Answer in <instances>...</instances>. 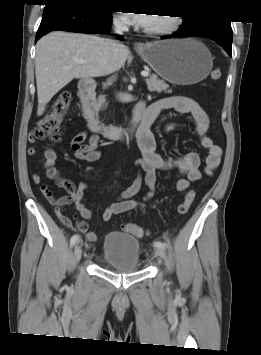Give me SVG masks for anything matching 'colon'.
I'll return each mask as SVG.
<instances>
[{"instance_id":"colon-1","label":"colon","mask_w":261,"mask_h":355,"mask_svg":"<svg viewBox=\"0 0 261 355\" xmlns=\"http://www.w3.org/2000/svg\"><path fill=\"white\" fill-rule=\"evenodd\" d=\"M222 76L220 69H215L211 72L212 80H219ZM71 102V93L69 91H63L58 96L57 100L53 104L52 111L43 117L34 128L32 135L34 138L43 139L49 138L53 141L60 140L59 127L64 121L67 115ZM46 196L49 197V192L45 191ZM195 199V193L189 191L183 201L178 206V212L181 215L186 214L191 208ZM123 230L136 237H143L145 235V230L143 227L133 223H125L122 226Z\"/></svg>"}]
</instances>
